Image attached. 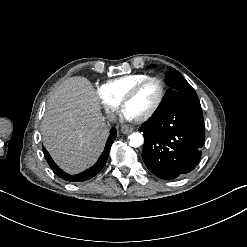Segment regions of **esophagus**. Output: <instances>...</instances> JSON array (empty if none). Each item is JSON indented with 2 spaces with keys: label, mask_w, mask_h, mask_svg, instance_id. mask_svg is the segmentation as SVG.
<instances>
[{
  "label": "esophagus",
  "mask_w": 247,
  "mask_h": 247,
  "mask_svg": "<svg viewBox=\"0 0 247 247\" xmlns=\"http://www.w3.org/2000/svg\"><path fill=\"white\" fill-rule=\"evenodd\" d=\"M133 130H134V128L130 125H122L121 126V132L123 134H130Z\"/></svg>",
  "instance_id": "obj_1"
}]
</instances>
